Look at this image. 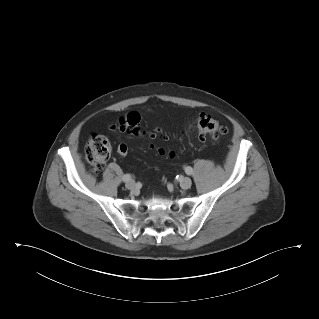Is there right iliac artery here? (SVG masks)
<instances>
[{
	"instance_id": "82829eb1",
	"label": "right iliac artery",
	"mask_w": 319,
	"mask_h": 319,
	"mask_svg": "<svg viewBox=\"0 0 319 319\" xmlns=\"http://www.w3.org/2000/svg\"><path fill=\"white\" fill-rule=\"evenodd\" d=\"M132 176L130 174H125L123 177H122V180L124 182H128L129 180H131Z\"/></svg>"
}]
</instances>
